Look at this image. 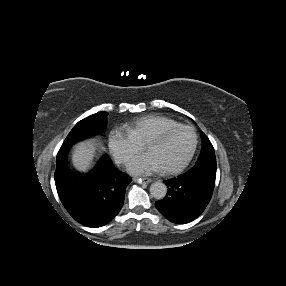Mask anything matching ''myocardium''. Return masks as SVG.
<instances>
[{"label":"myocardium","mask_w":286,"mask_h":286,"mask_svg":"<svg viewBox=\"0 0 286 286\" xmlns=\"http://www.w3.org/2000/svg\"><path fill=\"white\" fill-rule=\"evenodd\" d=\"M184 129L191 130L195 135V142H194L193 148L191 149L188 156L183 161H181L180 163H178L176 165L168 166V167H163L162 171L165 173H175V172L181 171L193 159V157L196 153L197 147H198V143H199V136H198L196 129L190 125H180V126H177L174 128H170V129H166L164 131H161V132L149 137L144 143L145 148L148 149V146L150 144H153L156 142H162V141L166 140L167 138H169L170 136L174 135L175 133H177L181 130H184Z\"/></svg>","instance_id":"f54148a6"}]
</instances>
